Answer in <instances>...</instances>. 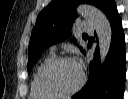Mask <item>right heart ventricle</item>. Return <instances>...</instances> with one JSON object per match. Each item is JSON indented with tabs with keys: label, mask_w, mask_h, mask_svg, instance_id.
I'll return each mask as SVG.
<instances>
[{
	"label": "right heart ventricle",
	"mask_w": 128,
	"mask_h": 99,
	"mask_svg": "<svg viewBox=\"0 0 128 99\" xmlns=\"http://www.w3.org/2000/svg\"><path fill=\"white\" fill-rule=\"evenodd\" d=\"M55 58L54 53L49 54L41 63L40 65L37 67V69L35 70L34 74H33V78H32V82H31V87H30V98L31 99H49L50 96L45 95L43 93H41L36 85V78H37V74L39 72V70L41 69V67L43 65H45L46 63L50 62L51 60H53Z\"/></svg>",
	"instance_id": "1"
}]
</instances>
